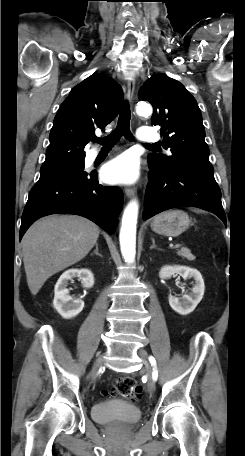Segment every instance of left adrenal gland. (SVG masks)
Instances as JSON below:
<instances>
[{
  "label": "left adrenal gland",
  "instance_id": "a2214340",
  "mask_svg": "<svg viewBox=\"0 0 245 456\" xmlns=\"http://www.w3.org/2000/svg\"><path fill=\"white\" fill-rule=\"evenodd\" d=\"M152 240V245L150 246V249H158V250H161L160 248H158L155 244V239L154 238H151Z\"/></svg>",
  "mask_w": 245,
  "mask_h": 456
}]
</instances>
